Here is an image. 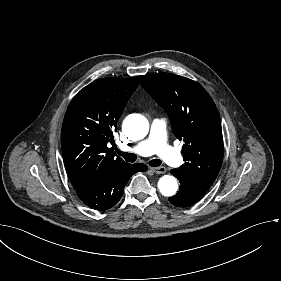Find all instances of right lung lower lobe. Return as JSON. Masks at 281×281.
Segmentation results:
<instances>
[{"label":"right lung lower lobe","mask_w":281,"mask_h":281,"mask_svg":"<svg viewBox=\"0 0 281 281\" xmlns=\"http://www.w3.org/2000/svg\"><path fill=\"white\" fill-rule=\"evenodd\" d=\"M146 170L147 166L142 163L129 165L91 186L76 190L77 195L90 208L107 210L120 200L130 177L136 172Z\"/></svg>","instance_id":"98d812e1"}]
</instances>
